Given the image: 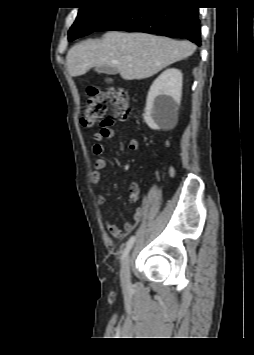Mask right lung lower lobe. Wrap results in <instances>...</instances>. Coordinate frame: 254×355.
<instances>
[{
  "mask_svg": "<svg viewBox=\"0 0 254 355\" xmlns=\"http://www.w3.org/2000/svg\"><path fill=\"white\" fill-rule=\"evenodd\" d=\"M198 7L193 0H131L96 31L123 30L186 38L201 44Z\"/></svg>",
  "mask_w": 254,
  "mask_h": 355,
  "instance_id": "98d812e1",
  "label": "right lung lower lobe"
}]
</instances>
